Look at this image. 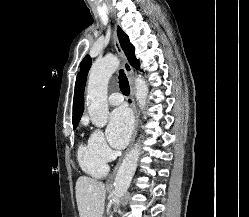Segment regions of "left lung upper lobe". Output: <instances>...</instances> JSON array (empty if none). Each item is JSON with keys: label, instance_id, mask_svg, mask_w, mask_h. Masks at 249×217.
Returning a JSON list of instances; mask_svg holds the SVG:
<instances>
[{"label": "left lung upper lobe", "instance_id": "obj_1", "mask_svg": "<svg viewBox=\"0 0 249 217\" xmlns=\"http://www.w3.org/2000/svg\"><path fill=\"white\" fill-rule=\"evenodd\" d=\"M117 32H118V37H119L121 47L124 50L128 61L130 62L132 66L139 69V62L138 60H136V57L134 55V47L129 42L128 36L121 30V28H118ZM90 66H91V58L89 55H87L84 57V59L82 60L80 64V76H81L82 81L84 82V85L86 82V77L90 69Z\"/></svg>", "mask_w": 249, "mask_h": 217}]
</instances>
